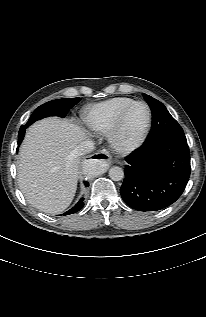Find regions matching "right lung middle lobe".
<instances>
[{"instance_id": "1", "label": "right lung middle lobe", "mask_w": 206, "mask_h": 317, "mask_svg": "<svg viewBox=\"0 0 206 317\" xmlns=\"http://www.w3.org/2000/svg\"><path fill=\"white\" fill-rule=\"evenodd\" d=\"M80 98H63L49 101L41 106H39L34 113L29 118L28 122L25 125H22L19 130L18 135V144L21 143L26 128L31 125L33 122L40 120L48 116H59L65 117L68 111L78 103Z\"/></svg>"}]
</instances>
